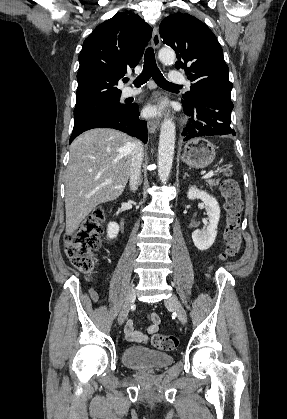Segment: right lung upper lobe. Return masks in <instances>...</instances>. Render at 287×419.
<instances>
[{
  "label": "right lung upper lobe",
  "instance_id": "1",
  "mask_svg": "<svg viewBox=\"0 0 287 419\" xmlns=\"http://www.w3.org/2000/svg\"><path fill=\"white\" fill-rule=\"evenodd\" d=\"M152 28L136 14L117 13L86 38L79 55L76 106L121 95L118 81L140 61Z\"/></svg>",
  "mask_w": 287,
  "mask_h": 419
}]
</instances>
